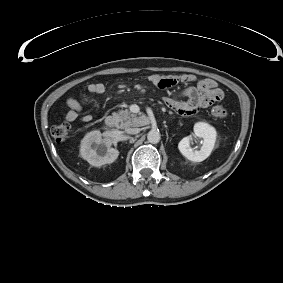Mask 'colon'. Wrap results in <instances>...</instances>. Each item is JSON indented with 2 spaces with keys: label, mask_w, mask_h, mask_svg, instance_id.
I'll use <instances>...</instances> for the list:
<instances>
[{
  "label": "colon",
  "mask_w": 283,
  "mask_h": 283,
  "mask_svg": "<svg viewBox=\"0 0 283 283\" xmlns=\"http://www.w3.org/2000/svg\"><path fill=\"white\" fill-rule=\"evenodd\" d=\"M211 116L215 119H223L227 115L226 109L222 105H215L211 108ZM70 125L68 123H61L52 128V136L58 142H63L68 139L70 135Z\"/></svg>",
  "instance_id": "obj_1"
}]
</instances>
